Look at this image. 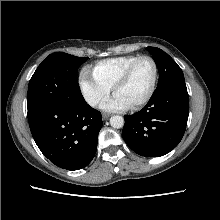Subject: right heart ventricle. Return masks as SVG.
Masks as SVG:
<instances>
[{
	"instance_id": "obj_1",
	"label": "right heart ventricle",
	"mask_w": 220,
	"mask_h": 220,
	"mask_svg": "<svg viewBox=\"0 0 220 220\" xmlns=\"http://www.w3.org/2000/svg\"><path fill=\"white\" fill-rule=\"evenodd\" d=\"M138 57L126 55L101 60L93 67V73L101 82L112 88L126 68Z\"/></svg>"
}]
</instances>
